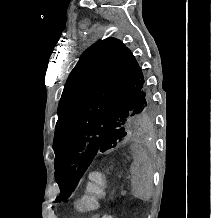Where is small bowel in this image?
I'll return each instance as SVG.
<instances>
[{
    "instance_id": "1",
    "label": "small bowel",
    "mask_w": 211,
    "mask_h": 218,
    "mask_svg": "<svg viewBox=\"0 0 211 218\" xmlns=\"http://www.w3.org/2000/svg\"><path fill=\"white\" fill-rule=\"evenodd\" d=\"M93 218H98L97 215H95Z\"/></svg>"
}]
</instances>
